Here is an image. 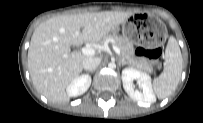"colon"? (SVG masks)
Masks as SVG:
<instances>
[{
  "instance_id": "colon-1",
  "label": "colon",
  "mask_w": 203,
  "mask_h": 123,
  "mask_svg": "<svg viewBox=\"0 0 203 123\" xmlns=\"http://www.w3.org/2000/svg\"><path fill=\"white\" fill-rule=\"evenodd\" d=\"M161 56V50L159 48L148 51V57L156 64L159 65V58Z\"/></svg>"
}]
</instances>
